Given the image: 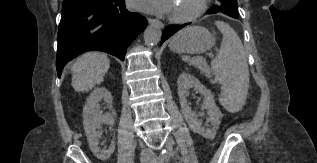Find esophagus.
I'll return each mask as SVG.
<instances>
[{"label": "esophagus", "instance_id": "34e87169", "mask_svg": "<svg viewBox=\"0 0 317 163\" xmlns=\"http://www.w3.org/2000/svg\"><path fill=\"white\" fill-rule=\"evenodd\" d=\"M148 23L152 24V25H156V26H158L161 29L164 28V24L161 21L157 20V19L148 18Z\"/></svg>", "mask_w": 317, "mask_h": 163}]
</instances>
